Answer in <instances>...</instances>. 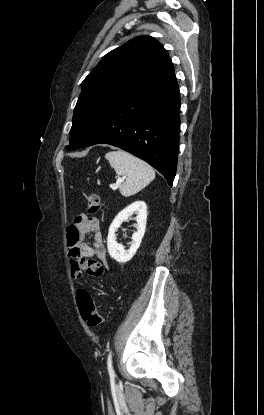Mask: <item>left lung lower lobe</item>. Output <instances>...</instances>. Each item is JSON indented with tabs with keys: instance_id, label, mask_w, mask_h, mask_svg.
I'll list each match as a JSON object with an SVG mask.
<instances>
[{
	"instance_id": "1",
	"label": "left lung lower lobe",
	"mask_w": 264,
	"mask_h": 415,
	"mask_svg": "<svg viewBox=\"0 0 264 415\" xmlns=\"http://www.w3.org/2000/svg\"><path fill=\"white\" fill-rule=\"evenodd\" d=\"M180 93L174 71L112 108L81 144H110L143 159L172 186L176 174Z\"/></svg>"
}]
</instances>
